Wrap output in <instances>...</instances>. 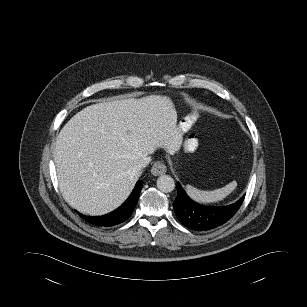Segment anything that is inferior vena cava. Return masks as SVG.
Instances as JSON below:
<instances>
[{
  "instance_id": "602c4592",
  "label": "inferior vena cava",
  "mask_w": 307,
  "mask_h": 307,
  "mask_svg": "<svg viewBox=\"0 0 307 307\" xmlns=\"http://www.w3.org/2000/svg\"><path fill=\"white\" fill-rule=\"evenodd\" d=\"M150 161H151V158H150L149 156H144L143 158H141V159L138 161V163H137V165H136V169H137L138 171H141V169H143L144 167H146V166L149 164Z\"/></svg>"
}]
</instances>
